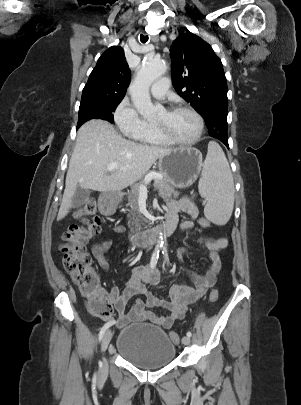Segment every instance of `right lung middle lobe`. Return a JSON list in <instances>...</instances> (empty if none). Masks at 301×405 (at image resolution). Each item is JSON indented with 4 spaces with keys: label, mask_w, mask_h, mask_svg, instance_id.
Wrapping results in <instances>:
<instances>
[{
    "label": "right lung middle lobe",
    "mask_w": 301,
    "mask_h": 405,
    "mask_svg": "<svg viewBox=\"0 0 301 405\" xmlns=\"http://www.w3.org/2000/svg\"><path fill=\"white\" fill-rule=\"evenodd\" d=\"M123 97L89 96L81 99L77 128L90 119H103L113 123V112Z\"/></svg>",
    "instance_id": "dd1d6c3e"
}]
</instances>
